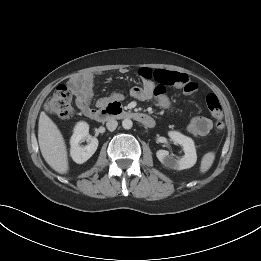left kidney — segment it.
<instances>
[{"label":"left kidney","mask_w":261,"mask_h":261,"mask_svg":"<svg viewBox=\"0 0 261 261\" xmlns=\"http://www.w3.org/2000/svg\"><path fill=\"white\" fill-rule=\"evenodd\" d=\"M168 135L175 144H179L183 147L185 155L181 159L177 160L173 156L169 155L168 151L158 150L156 152V156L159 161L165 167L175 170H183L193 167L197 161L194 141L190 137H187L177 131H170Z\"/></svg>","instance_id":"left-kidney-1"}]
</instances>
